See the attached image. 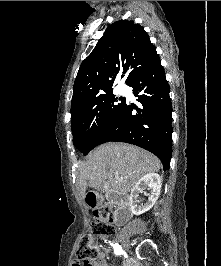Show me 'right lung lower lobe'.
I'll return each mask as SVG.
<instances>
[{"mask_svg": "<svg viewBox=\"0 0 221 266\" xmlns=\"http://www.w3.org/2000/svg\"><path fill=\"white\" fill-rule=\"evenodd\" d=\"M129 86L141 107L125 103L97 145L109 141L137 145L155 154L168 170L172 156V104L161 61L137 74Z\"/></svg>", "mask_w": 221, "mask_h": 266, "instance_id": "1", "label": "right lung lower lobe"}]
</instances>
